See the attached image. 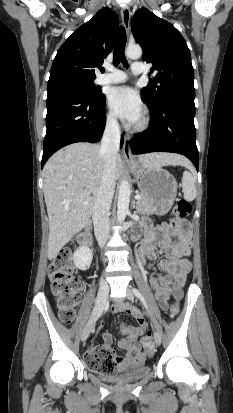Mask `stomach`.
Instances as JSON below:
<instances>
[{"instance_id":"stomach-1","label":"stomach","mask_w":233,"mask_h":413,"mask_svg":"<svg viewBox=\"0 0 233 413\" xmlns=\"http://www.w3.org/2000/svg\"><path fill=\"white\" fill-rule=\"evenodd\" d=\"M130 168L141 193L157 207L156 213H167L177 195V182L172 174L162 168L147 167L140 162L132 163Z\"/></svg>"}]
</instances>
